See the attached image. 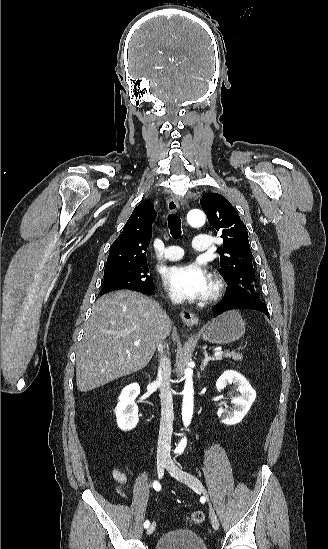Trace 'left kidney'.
I'll return each instance as SVG.
<instances>
[{"label": "left kidney", "instance_id": "left-kidney-1", "mask_svg": "<svg viewBox=\"0 0 328 549\" xmlns=\"http://www.w3.org/2000/svg\"><path fill=\"white\" fill-rule=\"evenodd\" d=\"M228 383L236 385V391H239L240 395L231 399L233 407H227V409L220 407L217 415L225 425H236V423H240L243 417L247 415L252 403L256 399V391L252 389L245 377L237 373V371H224L223 375L216 381V389L222 391Z\"/></svg>", "mask_w": 328, "mask_h": 549}]
</instances>
